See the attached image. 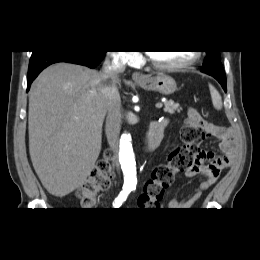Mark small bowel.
<instances>
[{
  "mask_svg": "<svg viewBox=\"0 0 260 260\" xmlns=\"http://www.w3.org/2000/svg\"><path fill=\"white\" fill-rule=\"evenodd\" d=\"M167 124V119L162 120ZM196 123L204 132L205 137L217 138L221 154L213 151L200 150L194 159L193 165L186 171L189 178L201 177L202 181L190 193L185 196L174 197L169 200L168 208L172 210H187L191 208L219 178L221 172L229 168L237 153V136L230 127L218 126L204 120L199 113H196ZM141 208L154 207L151 201L144 195L138 200Z\"/></svg>",
  "mask_w": 260,
  "mask_h": 260,
  "instance_id": "small-bowel-1",
  "label": "small bowel"
}]
</instances>
